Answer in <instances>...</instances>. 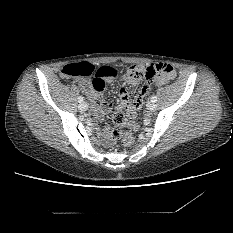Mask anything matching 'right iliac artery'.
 <instances>
[{
    "label": "right iliac artery",
    "mask_w": 233,
    "mask_h": 233,
    "mask_svg": "<svg viewBox=\"0 0 233 233\" xmlns=\"http://www.w3.org/2000/svg\"><path fill=\"white\" fill-rule=\"evenodd\" d=\"M83 100H84V99H83V97H81V96H80V97H78V102H79V103H82V102H83Z\"/></svg>",
    "instance_id": "obj_1"
}]
</instances>
